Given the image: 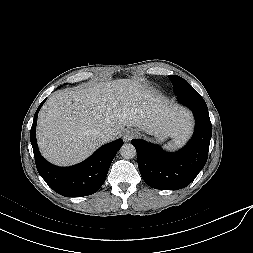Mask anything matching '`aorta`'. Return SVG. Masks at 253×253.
I'll list each match as a JSON object with an SVG mask.
<instances>
[{"instance_id":"obj_1","label":"aorta","mask_w":253,"mask_h":253,"mask_svg":"<svg viewBox=\"0 0 253 253\" xmlns=\"http://www.w3.org/2000/svg\"><path fill=\"white\" fill-rule=\"evenodd\" d=\"M120 155L124 159H132L136 156V149L130 143L123 144L120 148Z\"/></svg>"}]
</instances>
